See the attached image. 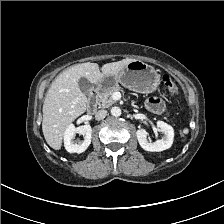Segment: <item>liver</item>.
I'll list each match as a JSON object with an SVG mask.
<instances>
[{
	"instance_id": "liver-1",
	"label": "liver",
	"mask_w": 224,
	"mask_h": 224,
	"mask_svg": "<svg viewBox=\"0 0 224 224\" xmlns=\"http://www.w3.org/2000/svg\"><path fill=\"white\" fill-rule=\"evenodd\" d=\"M133 60L127 58L104 64L101 71L97 63H82L70 67L56 77L43 104L42 131L51 148H61L65 130L87 109L88 99L80 90L78 80L85 77L92 84H98L104 76L117 74Z\"/></svg>"
}]
</instances>
